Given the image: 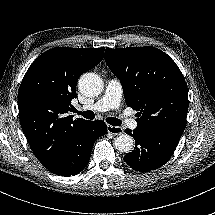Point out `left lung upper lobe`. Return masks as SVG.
<instances>
[{"label": "left lung upper lobe", "instance_id": "1", "mask_svg": "<svg viewBox=\"0 0 215 215\" xmlns=\"http://www.w3.org/2000/svg\"><path fill=\"white\" fill-rule=\"evenodd\" d=\"M105 61L122 84L127 106L138 111V128L184 131L187 85L172 58L154 47L106 48Z\"/></svg>", "mask_w": 215, "mask_h": 215}]
</instances>
